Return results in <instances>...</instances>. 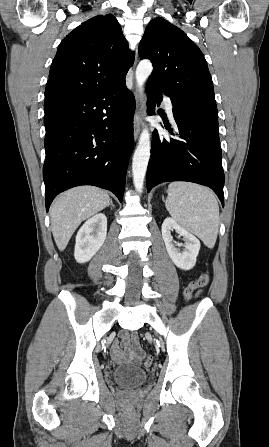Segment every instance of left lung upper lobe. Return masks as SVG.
Here are the masks:
<instances>
[{
    "instance_id": "obj_1",
    "label": "left lung upper lobe",
    "mask_w": 269,
    "mask_h": 447,
    "mask_svg": "<svg viewBox=\"0 0 269 447\" xmlns=\"http://www.w3.org/2000/svg\"><path fill=\"white\" fill-rule=\"evenodd\" d=\"M139 56L154 66L147 87L169 96L173 105L193 119L218 124L207 62L181 29L163 18L153 19L139 44Z\"/></svg>"
}]
</instances>
